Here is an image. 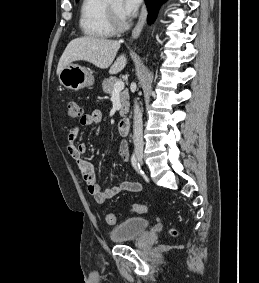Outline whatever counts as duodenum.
<instances>
[{
	"label": "duodenum",
	"instance_id": "obj_1",
	"mask_svg": "<svg viewBox=\"0 0 259 283\" xmlns=\"http://www.w3.org/2000/svg\"><path fill=\"white\" fill-rule=\"evenodd\" d=\"M129 126H130L129 119L128 118H122L121 120H119L118 125H117L118 133L121 136L127 135L128 132H129Z\"/></svg>",
	"mask_w": 259,
	"mask_h": 283
}]
</instances>
